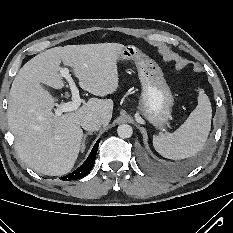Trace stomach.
Instances as JSON below:
<instances>
[{"mask_svg":"<svg viewBox=\"0 0 233 233\" xmlns=\"http://www.w3.org/2000/svg\"><path fill=\"white\" fill-rule=\"evenodd\" d=\"M117 61L135 63L142 85L137 110L153 126L163 127L171 117L174 99L159 65L134 45L124 46Z\"/></svg>","mask_w":233,"mask_h":233,"instance_id":"0dacf381","label":"stomach"}]
</instances>
